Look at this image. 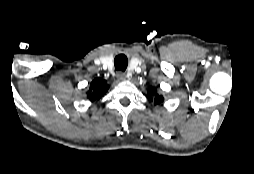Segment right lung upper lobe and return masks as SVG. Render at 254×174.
Returning a JSON list of instances; mask_svg holds the SVG:
<instances>
[{
	"label": "right lung upper lobe",
	"mask_w": 254,
	"mask_h": 174,
	"mask_svg": "<svg viewBox=\"0 0 254 174\" xmlns=\"http://www.w3.org/2000/svg\"><path fill=\"white\" fill-rule=\"evenodd\" d=\"M108 89L109 85L106 84L105 80L101 78H95L90 84V89L87 97L90 99V101L98 100L107 92Z\"/></svg>",
	"instance_id": "obj_1"
}]
</instances>
